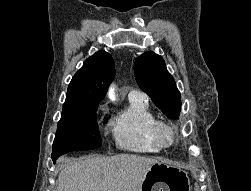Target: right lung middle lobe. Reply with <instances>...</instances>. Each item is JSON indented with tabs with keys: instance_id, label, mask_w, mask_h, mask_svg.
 Here are the masks:
<instances>
[{
	"instance_id": "dd1d6c3e",
	"label": "right lung middle lobe",
	"mask_w": 251,
	"mask_h": 191,
	"mask_svg": "<svg viewBox=\"0 0 251 191\" xmlns=\"http://www.w3.org/2000/svg\"><path fill=\"white\" fill-rule=\"evenodd\" d=\"M97 108L98 105H88L62 111L53 143V162L66 152L101 146L102 139L96 121Z\"/></svg>"
}]
</instances>
